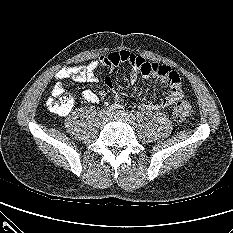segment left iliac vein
<instances>
[{
	"instance_id": "1",
	"label": "left iliac vein",
	"mask_w": 233,
	"mask_h": 233,
	"mask_svg": "<svg viewBox=\"0 0 233 233\" xmlns=\"http://www.w3.org/2000/svg\"><path fill=\"white\" fill-rule=\"evenodd\" d=\"M112 118H113V120L122 121V122H125V123H128V124L131 123L129 115L124 111L114 112L112 114Z\"/></svg>"
}]
</instances>
